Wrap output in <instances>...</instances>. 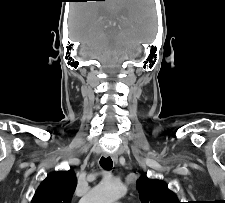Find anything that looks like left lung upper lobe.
I'll list each match as a JSON object with an SVG mask.
<instances>
[{
  "label": "left lung upper lobe",
  "instance_id": "5c2ea615",
  "mask_svg": "<svg viewBox=\"0 0 225 203\" xmlns=\"http://www.w3.org/2000/svg\"><path fill=\"white\" fill-rule=\"evenodd\" d=\"M136 186L142 203H180L163 181L149 179L146 174L141 176Z\"/></svg>",
  "mask_w": 225,
  "mask_h": 203
}]
</instances>
